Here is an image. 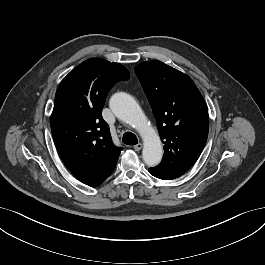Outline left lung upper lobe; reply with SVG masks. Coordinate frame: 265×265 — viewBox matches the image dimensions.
<instances>
[{"label": "left lung upper lobe", "instance_id": "5c2ea615", "mask_svg": "<svg viewBox=\"0 0 265 265\" xmlns=\"http://www.w3.org/2000/svg\"><path fill=\"white\" fill-rule=\"evenodd\" d=\"M134 71L152 107L164 143L163 159L152 170L161 179H175L197 161L206 144L207 105L187 75L163 62H143Z\"/></svg>", "mask_w": 265, "mask_h": 265}]
</instances>
